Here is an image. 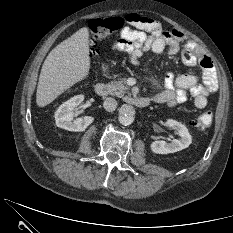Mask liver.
<instances>
[{"label":"liver","mask_w":233,"mask_h":233,"mask_svg":"<svg viewBox=\"0 0 233 233\" xmlns=\"http://www.w3.org/2000/svg\"><path fill=\"white\" fill-rule=\"evenodd\" d=\"M89 31L81 28L47 56L39 76L36 103L44 107L83 80L90 70Z\"/></svg>","instance_id":"6515ba94"}]
</instances>
